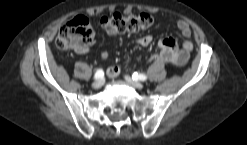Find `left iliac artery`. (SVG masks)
<instances>
[{
	"label": "left iliac artery",
	"instance_id": "1",
	"mask_svg": "<svg viewBox=\"0 0 247 145\" xmlns=\"http://www.w3.org/2000/svg\"><path fill=\"white\" fill-rule=\"evenodd\" d=\"M133 80H141V81H145L147 80V76L144 74H138L137 72H134L132 75Z\"/></svg>",
	"mask_w": 247,
	"mask_h": 145
}]
</instances>
